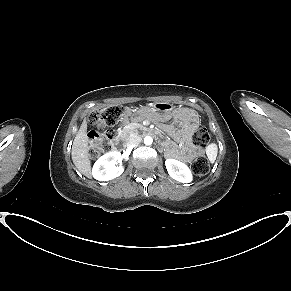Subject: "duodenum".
Segmentation results:
<instances>
[{"instance_id":"410a0bca","label":"duodenum","mask_w":291,"mask_h":291,"mask_svg":"<svg viewBox=\"0 0 291 291\" xmlns=\"http://www.w3.org/2000/svg\"><path fill=\"white\" fill-rule=\"evenodd\" d=\"M134 130H141L143 133L149 135L151 138H155L160 145H166L168 143V140L161 134H157L155 131H152L146 126H143L141 123H132L131 125H128L125 129L121 128L117 131V135L114 137L112 146L114 148L122 146V143L119 142L123 139L124 134L126 132L131 133Z\"/></svg>"}]
</instances>
